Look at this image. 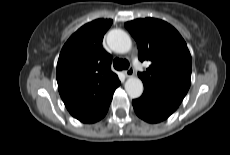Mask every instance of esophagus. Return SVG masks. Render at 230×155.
Masks as SVG:
<instances>
[{"label":"esophagus","mask_w":230,"mask_h":155,"mask_svg":"<svg viewBox=\"0 0 230 155\" xmlns=\"http://www.w3.org/2000/svg\"><path fill=\"white\" fill-rule=\"evenodd\" d=\"M126 77H132L134 75L133 67L128 68L125 72Z\"/></svg>","instance_id":"34e87169"}]
</instances>
